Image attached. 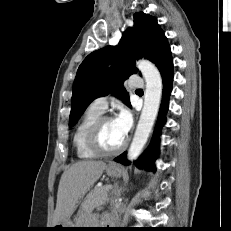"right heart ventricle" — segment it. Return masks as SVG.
I'll list each match as a JSON object with an SVG mask.
<instances>
[{
  "instance_id": "1",
  "label": "right heart ventricle",
  "mask_w": 231,
  "mask_h": 231,
  "mask_svg": "<svg viewBox=\"0 0 231 231\" xmlns=\"http://www.w3.org/2000/svg\"><path fill=\"white\" fill-rule=\"evenodd\" d=\"M101 112L95 110L91 106L85 111L78 122L73 134V146L78 158L82 160L95 159L98 154L93 152L87 145V133L95 120L101 116Z\"/></svg>"
}]
</instances>
